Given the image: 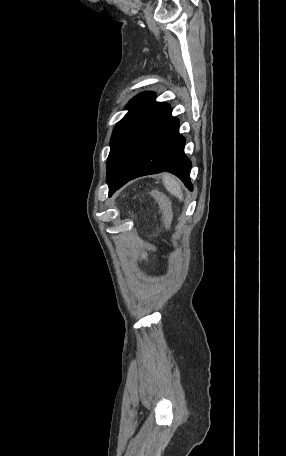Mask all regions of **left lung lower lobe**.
Returning <instances> with one entry per match:
<instances>
[{
	"label": "left lung lower lobe",
	"mask_w": 286,
	"mask_h": 456,
	"mask_svg": "<svg viewBox=\"0 0 286 456\" xmlns=\"http://www.w3.org/2000/svg\"><path fill=\"white\" fill-rule=\"evenodd\" d=\"M185 138L179 134V120L169 107L147 126L129 147L109 184V196L128 181L167 171L192 190L191 161L184 154Z\"/></svg>",
	"instance_id": "left-lung-lower-lobe-1"
}]
</instances>
